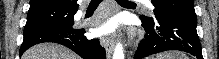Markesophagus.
<instances>
[{"label":"esophagus","mask_w":219,"mask_h":59,"mask_svg":"<svg viewBox=\"0 0 219 59\" xmlns=\"http://www.w3.org/2000/svg\"><path fill=\"white\" fill-rule=\"evenodd\" d=\"M117 11V7L113 3V9L111 10V13H115ZM101 42L103 43L105 50H106V56L107 58H110L113 50H114V43L113 40L110 37H102Z\"/></svg>","instance_id":"esophagus-1"}]
</instances>
